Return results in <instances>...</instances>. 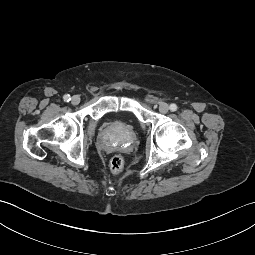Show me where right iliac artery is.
Instances as JSON below:
<instances>
[{"label": "right iliac artery", "mask_w": 255, "mask_h": 255, "mask_svg": "<svg viewBox=\"0 0 255 255\" xmlns=\"http://www.w3.org/2000/svg\"><path fill=\"white\" fill-rule=\"evenodd\" d=\"M63 99L65 102H69L71 100V97L69 94H67V95H64Z\"/></svg>", "instance_id": "obj_1"}]
</instances>
